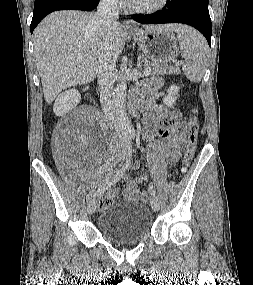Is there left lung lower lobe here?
I'll return each mask as SVG.
<instances>
[{
    "label": "left lung lower lobe",
    "mask_w": 253,
    "mask_h": 285,
    "mask_svg": "<svg viewBox=\"0 0 253 285\" xmlns=\"http://www.w3.org/2000/svg\"><path fill=\"white\" fill-rule=\"evenodd\" d=\"M209 0H168L166 6L154 14H134L132 18L143 24L184 23L199 30L210 46L212 24Z\"/></svg>",
    "instance_id": "0a47b994"
}]
</instances>
